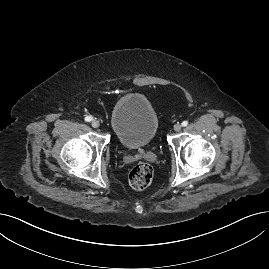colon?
<instances>
[{"label":"colon","instance_id":"obj_1","mask_svg":"<svg viewBox=\"0 0 269 269\" xmlns=\"http://www.w3.org/2000/svg\"><path fill=\"white\" fill-rule=\"evenodd\" d=\"M129 184L135 190H144L150 186L153 179V169L149 164L140 163L129 173Z\"/></svg>","mask_w":269,"mask_h":269}]
</instances>
